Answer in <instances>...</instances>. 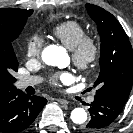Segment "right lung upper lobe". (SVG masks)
Wrapping results in <instances>:
<instances>
[{
  "label": "right lung upper lobe",
  "instance_id": "cb5924a9",
  "mask_svg": "<svg viewBox=\"0 0 133 133\" xmlns=\"http://www.w3.org/2000/svg\"><path fill=\"white\" fill-rule=\"evenodd\" d=\"M33 12V10H25V9H16V8H5V9H0V23H12L16 20V18L18 17V15L21 12ZM16 90L15 89L9 91L12 92ZM9 92H1L0 91V100L7 95Z\"/></svg>",
  "mask_w": 133,
  "mask_h": 133
}]
</instances>
